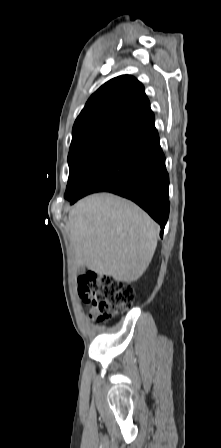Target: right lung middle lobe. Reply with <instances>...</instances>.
Returning <instances> with one entry per match:
<instances>
[{
    "instance_id": "1",
    "label": "right lung middle lobe",
    "mask_w": 221,
    "mask_h": 448,
    "mask_svg": "<svg viewBox=\"0 0 221 448\" xmlns=\"http://www.w3.org/2000/svg\"><path fill=\"white\" fill-rule=\"evenodd\" d=\"M115 145L114 143H94L69 151L66 199L70 201L77 196L87 178Z\"/></svg>"
}]
</instances>
